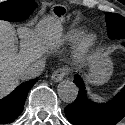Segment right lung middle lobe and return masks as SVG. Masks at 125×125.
<instances>
[{
  "label": "right lung middle lobe",
  "instance_id": "obj_1",
  "mask_svg": "<svg viewBox=\"0 0 125 125\" xmlns=\"http://www.w3.org/2000/svg\"><path fill=\"white\" fill-rule=\"evenodd\" d=\"M37 7L33 0H9L0 3V19L11 22L25 20Z\"/></svg>",
  "mask_w": 125,
  "mask_h": 125
}]
</instances>
